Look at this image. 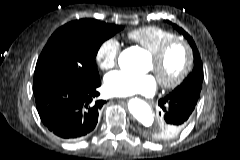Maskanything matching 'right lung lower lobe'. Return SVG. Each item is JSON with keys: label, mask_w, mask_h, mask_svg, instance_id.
Wrapping results in <instances>:
<instances>
[{"label": "right lung lower lobe", "mask_w": 240, "mask_h": 160, "mask_svg": "<svg viewBox=\"0 0 240 160\" xmlns=\"http://www.w3.org/2000/svg\"><path fill=\"white\" fill-rule=\"evenodd\" d=\"M100 78L89 86H73L52 80L34 88L36 107L43 124L55 135L68 140L87 136L98 122L106 101L94 99Z\"/></svg>", "instance_id": "obj_1"}]
</instances>
